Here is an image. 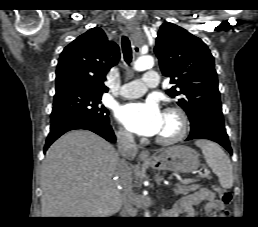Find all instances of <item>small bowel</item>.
Instances as JSON below:
<instances>
[{"instance_id":"obj_1","label":"small bowel","mask_w":258,"mask_h":227,"mask_svg":"<svg viewBox=\"0 0 258 227\" xmlns=\"http://www.w3.org/2000/svg\"><path fill=\"white\" fill-rule=\"evenodd\" d=\"M204 203L205 207L202 213L204 217L215 216L223 209L221 201L215 199L214 193L207 189L199 190L180 200L171 211V215L185 214L189 217L197 216L194 206Z\"/></svg>"}]
</instances>
